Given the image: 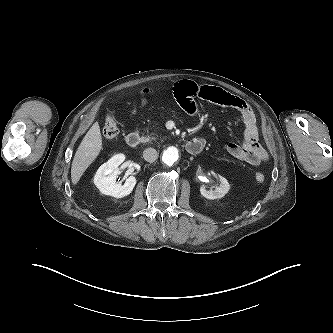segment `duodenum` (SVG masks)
<instances>
[{"instance_id": "duodenum-1", "label": "duodenum", "mask_w": 333, "mask_h": 333, "mask_svg": "<svg viewBox=\"0 0 333 333\" xmlns=\"http://www.w3.org/2000/svg\"><path fill=\"white\" fill-rule=\"evenodd\" d=\"M125 141L131 148H136L141 142V137L138 133L131 132L126 135ZM205 146V141L202 139H193L186 144V150L189 154H199Z\"/></svg>"}]
</instances>
